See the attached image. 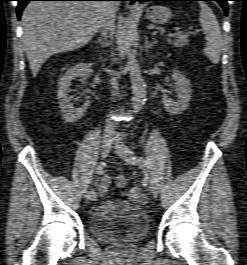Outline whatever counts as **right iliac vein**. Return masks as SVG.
I'll use <instances>...</instances> for the list:
<instances>
[{
	"label": "right iliac vein",
	"instance_id": "63e3f726",
	"mask_svg": "<svg viewBox=\"0 0 247 265\" xmlns=\"http://www.w3.org/2000/svg\"><path fill=\"white\" fill-rule=\"evenodd\" d=\"M111 146H112V140L111 139H105L102 142L101 150H100V155H101L102 159H104L108 156V154L111 150ZM84 198L86 201H88L90 199L88 192L85 194Z\"/></svg>",
	"mask_w": 247,
	"mask_h": 265
}]
</instances>
